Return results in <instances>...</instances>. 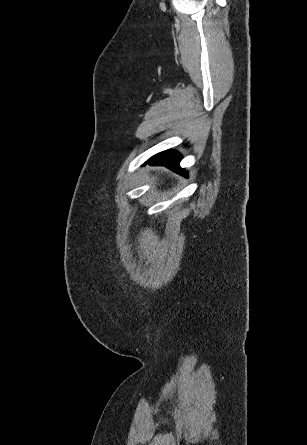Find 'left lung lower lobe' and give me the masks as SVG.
I'll list each match as a JSON object with an SVG mask.
<instances>
[{
  "label": "left lung lower lobe",
  "instance_id": "left-lung-lower-lobe-1",
  "mask_svg": "<svg viewBox=\"0 0 307 445\" xmlns=\"http://www.w3.org/2000/svg\"><path fill=\"white\" fill-rule=\"evenodd\" d=\"M181 158V155L176 151L166 150L152 156L148 159V162L143 164V166H145L146 163L150 165H162L187 178L186 171L179 167Z\"/></svg>",
  "mask_w": 307,
  "mask_h": 445
}]
</instances>
